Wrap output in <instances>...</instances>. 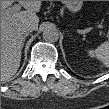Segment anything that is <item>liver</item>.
<instances>
[{"label": "liver", "instance_id": "6515ba94", "mask_svg": "<svg viewBox=\"0 0 109 109\" xmlns=\"http://www.w3.org/2000/svg\"><path fill=\"white\" fill-rule=\"evenodd\" d=\"M4 3L1 15V75L2 80H8L17 72L21 61V50L24 45V35L21 24L30 22L35 30L38 28L40 1H20L18 7ZM8 6V7H7ZM24 7L26 10H20Z\"/></svg>", "mask_w": 109, "mask_h": 109}]
</instances>
